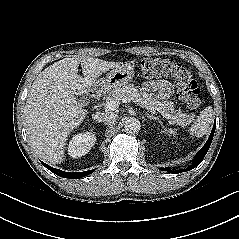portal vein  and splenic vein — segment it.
<instances>
[{"instance_id": "18ae733b", "label": "portal vein and splenic vein", "mask_w": 239, "mask_h": 239, "mask_svg": "<svg viewBox=\"0 0 239 239\" xmlns=\"http://www.w3.org/2000/svg\"><path fill=\"white\" fill-rule=\"evenodd\" d=\"M120 101H122L123 103H127V102H130L131 101V99L130 98H128V97H124V98H122ZM120 101H115V100H109V101H106V103H105V109H107V110H111V111H114V110H116L118 107H119V104H120ZM146 109H148V108H146ZM148 110H150L151 112H155L156 110L159 112V113H161L165 118H167V119H174L175 117L173 116V115H171V114H168V113H166L165 111H163V110H160V109H148Z\"/></svg>"}]
</instances>
